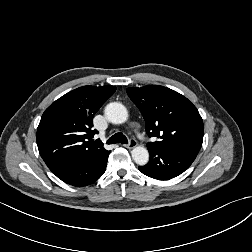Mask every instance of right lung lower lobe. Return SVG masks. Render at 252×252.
I'll return each instance as SVG.
<instances>
[{
    "mask_svg": "<svg viewBox=\"0 0 252 252\" xmlns=\"http://www.w3.org/2000/svg\"><path fill=\"white\" fill-rule=\"evenodd\" d=\"M109 154L104 157L81 158L66 163L52 172L67 184L82 187L98 180L106 170Z\"/></svg>",
    "mask_w": 252,
    "mask_h": 252,
    "instance_id": "obj_1",
    "label": "right lung lower lobe"
}]
</instances>
